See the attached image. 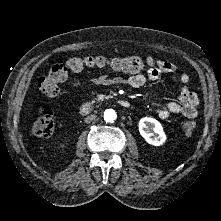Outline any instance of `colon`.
<instances>
[{"label":"colon","mask_w":221,"mask_h":221,"mask_svg":"<svg viewBox=\"0 0 221 221\" xmlns=\"http://www.w3.org/2000/svg\"><path fill=\"white\" fill-rule=\"evenodd\" d=\"M157 62L153 57L141 58L138 56L112 57L88 56L85 58H70L65 62L56 63L51 66L46 76L41 77L38 82L41 93L50 99L58 96L60 83L68 75V72H80L85 66L98 68H112L117 71L138 73L156 67ZM181 132L192 135L196 129V123L191 119H183L179 123ZM33 133L42 138L50 137L54 131L52 112L46 107L39 109L37 119L33 124Z\"/></svg>","instance_id":"5ec220e1"}]
</instances>
